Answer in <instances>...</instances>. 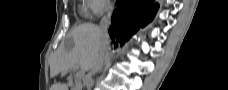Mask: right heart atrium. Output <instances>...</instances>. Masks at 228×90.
<instances>
[{"label":"right heart atrium","instance_id":"right-heart-atrium-1","mask_svg":"<svg viewBox=\"0 0 228 90\" xmlns=\"http://www.w3.org/2000/svg\"><path fill=\"white\" fill-rule=\"evenodd\" d=\"M84 2L86 5L84 15L88 18L101 16L108 12L111 7L109 0H86Z\"/></svg>","mask_w":228,"mask_h":90}]
</instances>
